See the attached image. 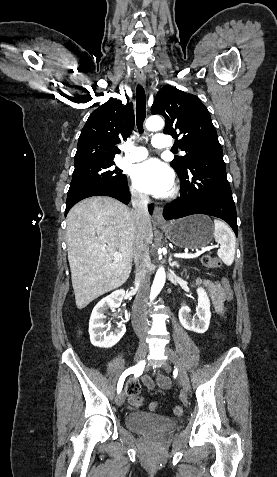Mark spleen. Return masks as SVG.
I'll return each mask as SVG.
<instances>
[{
    "instance_id": "spleen-1",
    "label": "spleen",
    "mask_w": 277,
    "mask_h": 477,
    "mask_svg": "<svg viewBox=\"0 0 277 477\" xmlns=\"http://www.w3.org/2000/svg\"><path fill=\"white\" fill-rule=\"evenodd\" d=\"M214 238L220 244L217 254L227 266L232 265L235 256V237L232 230L222 221L214 220Z\"/></svg>"
}]
</instances>
